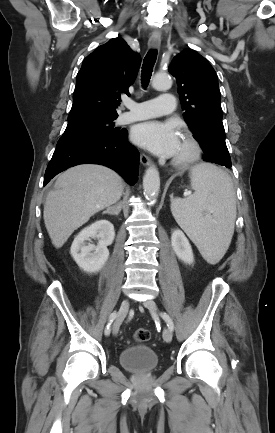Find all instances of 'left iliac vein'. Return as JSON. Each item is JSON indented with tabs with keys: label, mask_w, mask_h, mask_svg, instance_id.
<instances>
[{
	"label": "left iliac vein",
	"mask_w": 275,
	"mask_h": 433,
	"mask_svg": "<svg viewBox=\"0 0 275 433\" xmlns=\"http://www.w3.org/2000/svg\"><path fill=\"white\" fill-rule=\"evenodd\" d=\"M143 305L152 313L156 314L158 311L157 305L154 300L149 299L143 303ZM172 331L169 328H165L163 331V339L170 343L172 341Z\"/></svg>",
	"instance_id": "4c4485c4"
}]
</instances>
